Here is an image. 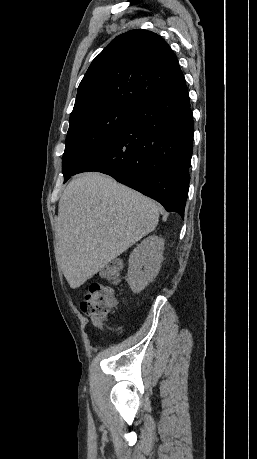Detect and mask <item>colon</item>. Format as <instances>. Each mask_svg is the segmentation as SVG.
<instances>
[{"label":"colon","instance_id":"5ec220e1","mask_svg":"<svg viewBox=\"0 0 257 459\" xmlns=\"http://www.w3.org/2000/svg\"><path fill=\"white\" fill-rule=\"evenodd\" d=\"M121 272V264L118 262H110L102 270V276L110 281H117ZM115 296L109 287L102 284H91L87 293L81 302V310L83 313L93 316L97 320L105 319L110 310L115 305Z\"/></svg>","mask_w":257,"mask_h":459}]
</instances>
